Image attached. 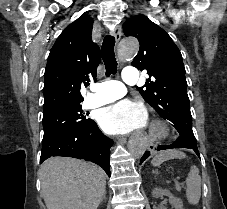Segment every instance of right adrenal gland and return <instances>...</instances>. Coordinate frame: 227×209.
<instances>
[{
	"instance_id": "2a0ac1e0",
	"label": "right adrenal gland",
	"mask_w": 227,
	"mask_h": 209,
	"mask_svg": "<svg viewBox=\"0 0 227 209\" xmlns=\"http://www.w3.org/2000/svg\"><path fill=\"white\" fill-rule=\"evenodd\" d=\"M103 199H104V201H106V197H105V195H104ZM103 199H101V203H102Z\"/></svg>"
}]
</instances>
